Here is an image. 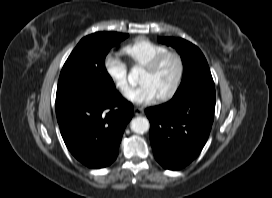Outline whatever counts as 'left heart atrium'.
I'll return each instance as SVG.
<instances>
[{"label":"left heart atrium","mask_w":272,"mask_h":198,"mask_svg":"<svg viewBox=\"0 0 272 198\" xmlns=\"http://www.w3.org/2000/svg\"><path fill=\"white\" fill-rule=\"evenodd\" d=\"M124 97L128 101L137 105H148L158 98L155 90L147 83L129 88L124 92Z\"/></svg>","instance_id":"left-heart-atrium-1"}]
</instances>
